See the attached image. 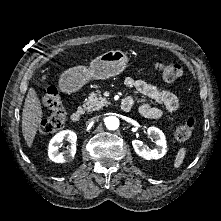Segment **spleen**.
<instances>
[{
    "instance_id": "obj_1",
    "label": "spleen",
    "mask_w": 221,
    "mask_h": 221,
    "mask_svg": "<svg viewBox=\"0 0 221 221\" xmlns=\"http://www.w3.org/2000/svg\"><path fill=\"white\" fill-rule=\"evenodd\" d=\"M186 155V149L185 148H180L176 154L175 160H174V168L177 169L181 166V164L183 163V160L185 158Z\"/></svg>"
}]
</instances>
